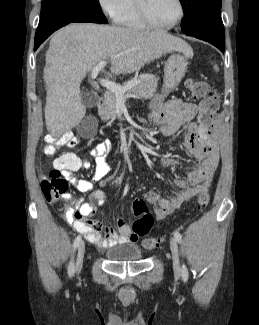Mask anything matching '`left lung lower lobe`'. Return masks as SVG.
Here are the masks:
<instances>
[{
    "mask_svg": "<svg viewBox=\"0 0 259 325\" xmlns=\"http://www.w3.org/2000/svg\"><path fill=\"white\" fill-rule=\"evenodd\" d=\"M183 33L207 41L222 52L225 50V31L221 17L206 19Z\"/></svg>",
    "mask_w": 259,
    "mask_h": 325,
    "instance_id": "obj_1",
    "label": "left lung lower lobe"
}]
</instances>
